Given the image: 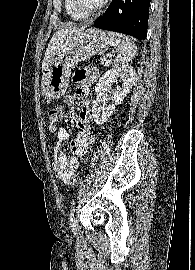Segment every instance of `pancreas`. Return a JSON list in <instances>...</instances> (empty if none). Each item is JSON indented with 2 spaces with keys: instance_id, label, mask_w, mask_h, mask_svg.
Segmentation results:
<instances>
[{
  "instance_id": "1",
  "label": "pancreas",
  "mask_w": 195,
  "mask_h": 270,
  "mask_svg": "<svg viewBox=\"0 0 195 270\" xmlns=\"http://www.w3.org/2000/svg\"><path fill=\"white\" fill-rule=\"evenodd\" d=\"M111 58H108L106 56H103L101 59H100V64L102 65H106V66H109L111 65Z\"/></svg>"
}]
</instances>
